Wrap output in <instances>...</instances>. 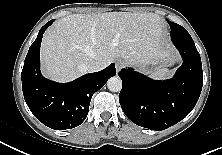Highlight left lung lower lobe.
<instances>
[{
    "instance_id": "1",
    "label": "left lung lower lobe",
    "mask_w": 222,
    "mask_h": 155,
    "mask_svg": "<svg viewBox=\"0 0 222 155\" xmlns=\"http://www.w3.org/2000/svg\"><path fill=\"white\" fill-rule=\"evenodd\" d=\"M171 38L183 58L173 78L155 81L132 69L119 72L122 110L132 122L151 130H164L185 118L202 90L201 58L193 39L178 24L171 26Z\"/></svg>"
}]
</instances>
